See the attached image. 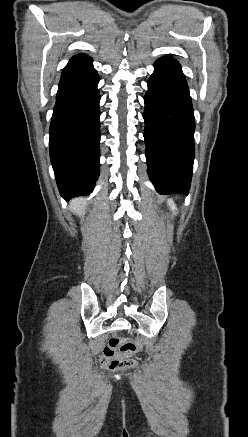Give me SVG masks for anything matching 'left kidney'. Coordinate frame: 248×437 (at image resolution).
I'll return each instance as SVG.
<instances>
[{"instance_id": "1", "label": "left kidney", "mask_w": 248, "mask_h": 437, "mask_svg": "<svg viewBox=\"0 0 248 437\" xmlns=\"http://www.w3.org/2000/svg\"><path fill=\"white\" fill-rule=\"evenodd\" d=\"M168 205L170 206L171 210L175 211L177 210L176 205L174 204L173 200H168Z\"/></svg>"}]
</instances>
